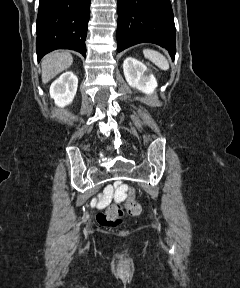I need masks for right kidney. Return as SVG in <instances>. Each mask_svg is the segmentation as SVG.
<instances>
[{"instance_id": "ca27d5eb", "label": "right kidney", "mask_w": 240, "mask_h": 288, "mask_svg": "<svg viewBox=\"0 0 240 288\" xmlns=\"http://www.w3.org/2000/svg\"><path fill=\"white\" fill-rule=\"evenodd\" d=\"M78 78L72 72L63 73L50 86V96L59 107L69 105L76 95Z\"/></svg>"}]
</instances>
